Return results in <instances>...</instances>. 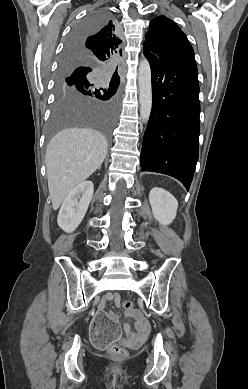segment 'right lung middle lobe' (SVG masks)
Listing matches in <instances>:
<instances>
[{
	"label": "right lung middle lobe",
	"instance_id": "obj_1",
	"mask_svg": "<svg viewBox=\"0 0 248 389\" xmlns=\"http://www.w3.org/2000/svg\"><path fill=\"white\" fill-rule=\"evenodd\" d=\"M109 18L110 14L105 10L92 11L74 28L65 48L71 46L74 40L96 32L109 22ZM66 59L68 57L63 54L49 135L53 136L69 127L88 126L98 129L110 140L115 121L119 81H113L104 67L88 63L80 55L71 57L68 61ZM77 69H83L88 73L71 77L70 75Z\"/></svg>",
	"mask_w": 248,
	"mask_h": 389
}]
</instances>
